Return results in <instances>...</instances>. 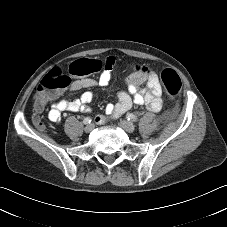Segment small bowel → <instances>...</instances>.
<instances>
[{
  "label": "small bowel",
  "mask_w": 227,
  "mask_h": 227,
  "mask_svg": "<svg viewBox=\"0 0 227 227\" xmlns=\"http://www.w3.org/2000/svg\"><path fill=\"white\" fill-rule=\"evenodd\" d=\"M116 60L107 58L103 63V69L98 79L82 78L71 83L69 91H86L79 99H62L54 103L48 111L47 117L52 122H58L61 114L66 111H80L82 113H91V103L94 100V89L97 87H107L111 80ZM146 81L147 88H140V84ZM127 91L118 92V102L109 103L105 107L107 116L119 117L125 114L130 108L136 105H144L149 111L158 112L162 108V89L159 78L154 71L149 73L134 71L125 79ZM105 117L99 118L103 122Z\"/></svg>",
  "instance_id": "small-bowel-1"
}]
</instances>
